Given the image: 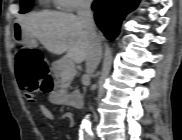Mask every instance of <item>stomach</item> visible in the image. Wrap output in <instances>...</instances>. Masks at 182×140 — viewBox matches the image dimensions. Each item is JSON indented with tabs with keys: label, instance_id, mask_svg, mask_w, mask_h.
Segmentation results:
<instances>
[{
	"label": "stomach",
	"instance_id": "stomach-1",
	"mask_svg": "<svg viewBox=\"0 0 182 140\" xmlns=\"http://www.w3.org/2000/svg\"><path fill=\"white\" fill-rule=\"evenodd\" d=\"M10 26L13 27L14 30L26 29V26L23 25L22 22H11ZM14 35L15 44H27L31 47H34L37 44L36 39L29 36V31H15Z\"/></svg>",
	"mask_w": 182,
	"mask_h": 140
}]
</instances>
